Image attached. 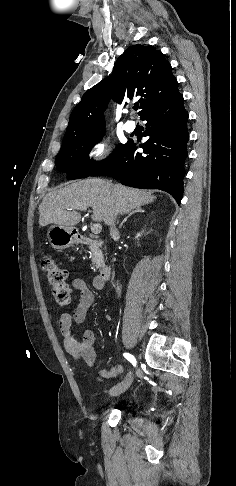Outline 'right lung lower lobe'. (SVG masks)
<instances>
[{"instance_id": "1", "label": "right lung lower lobe", "mask_w": 236, "mask_h": 486, "mask_svg": "<svg viewBox=\"0 0 236 486\" xmlns=\"http://www.w3.org/2000/svg\"><path fill=\"white\" fill-rule=\"evenodd\" d=\"M140 116L147 121L143 135L149 136L140 145L143 154L137 152L138 145L129 140L91 176H111L127 186L161 189L180 204L189 140L183 96L178 93L174 98L154 103Z\"/></svg>"}]
</instances>
